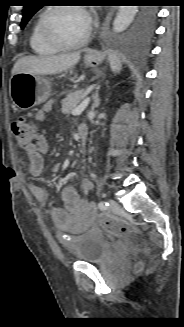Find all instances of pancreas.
<instances>
[{"label":"pancreas","mask_w":184,"mask_h":327,"mask_svg":"<svg viewBox=\"0 0 184 327\" xmlns=\"http://www.w3.org/2000/svg\"><path fill=\"white\" fill-rule=\"evenodd\" d=\"M83 97V93L81 91L68 93L65 99L62 100V114L69 115L72 113V110L75 109L78 105L79 99Z\"/></svg>","instance_id":"cf45deb5"}]
</instances>
